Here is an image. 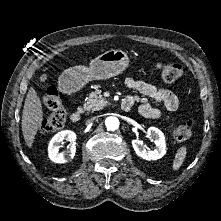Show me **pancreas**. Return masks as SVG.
I'll return each instance as SVG.
<instances>
[{
    "mask_svg": "<svg viewBox=\"0 0 221 221\" xmlns=\"http://www.w3.org/2000/svg\"><path fill=\"white\" fill-rule=\"evenodd\" d=\"M99 87V85L95 86V91L89 94L87 102L84 104L85 110L97 111L108 105V101L102 96Z\"/></svg>",
    "mask_w": 221,
    "mask_h": 221,
    "instance_id": "cf45deb5",
    "label": "pancreas"
}]
</instances>
